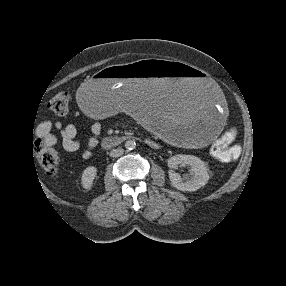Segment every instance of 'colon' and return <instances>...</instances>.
Wrapping results in <instances>:
<instances>
[{
    "label": "colon",
    "mask_w": 286,
    "mask_h": 286,
    "mask_svg": "<svg viewBox=\"0 0 286 286\" xmlns=\"http://www.w3.org/2000/svg\"><path fill=\"white\" fill-rule=\"evenodd\" d=\"M49 109L58 116H65L70 110V98L67 93H59L54 96L48 104ZM238 133L237 127L233 126L227 129L220 138L213 144V154L221 160H229L231 157L230 148L232 142L236 139ZM34 153L44 172L48 175H54L58 171L60 158L58 153L43 143L36 141Z\"/></svg>",
    "instance_id": "5ec220e1"
}]
</instances>
